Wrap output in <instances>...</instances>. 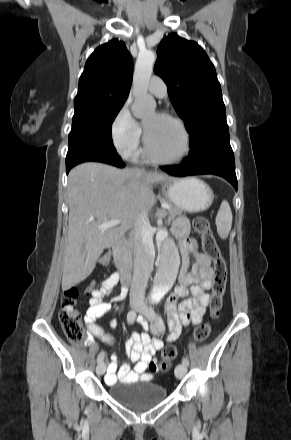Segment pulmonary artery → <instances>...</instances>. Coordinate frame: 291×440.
<instances>
[{"label":"pulmonary artery","instance_id":"obj_1","mask_svg":"<svg viewBox=\"0 0 291 440\" xmlns=\"http://www.w3.org/2000/svg\"><path fill=\"white\" fill-rule=\"evenodd\" d=\"M148 90L153 95L163 98L167 94V85L161 77L154 75L149 81Z\"/></svg>","mask_w":291,"mask_h":440}]
</instances>
